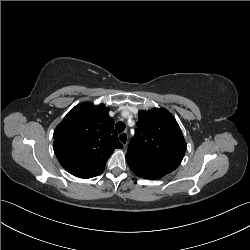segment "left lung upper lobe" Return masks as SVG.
<instances>
[{
  "label": "left lung upper lobe",
  "instance_id": "left-lung-upper-lobe-1",
  "mask_svg": "<svg viewBox=\"0 0 250 250\" xmlns=\"http://www.w3.org/2000/svg\"><path fill=\"white\" fill-rule=\"evenodd\" d=\"M186 148L181 129L171 113L164 108L141 110L126 160L131 168L141 159H151L157 169L168 174L179 166Z\"/></svg>",
  "mask_w": 250,
  "mask_h": 250
}]
</instances>
